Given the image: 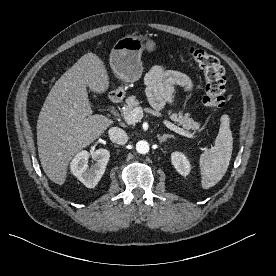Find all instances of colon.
Instances as JSON below:
<instances>
[{
    "mask_svg": "<svg viewBox=\"0 0 276 276\" xmlns=\"http://www.w3.org/2000/svg\"><path fill=\"white\" fill-rule=\"evenodd\" d=\"M189 54L205 77L204 105L213 112L222 110L225 105V77L219 60L198 47H191Z\"/></svg>",
    "mask_w": 276,
    "mask_h": 276,
    "instance_id": "5ec220e1",
    "label": "colon"
}]
</instances>
